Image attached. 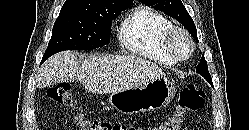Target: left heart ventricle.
I'll list each match as a JSON object with an SVG mask.
<instances>
[{
    "label": "left heart ventricle",
    "mask_w": 249,
    "mask_h": 130,
    "mask_svg": "<svg viewBox=\"0 0 249 130\" xmlns=\"http://www.w3.org/2000/svg\"><path fill=\"white\" fill-rule=\"evenodd\" d=\"M174 49L178 55L184 57L189 53L190 47L187 40L184 37L179 36L175 40Z\"/></svg>",
    "instance_id": "left-heart-ventricle-1"
}]
</instances>
